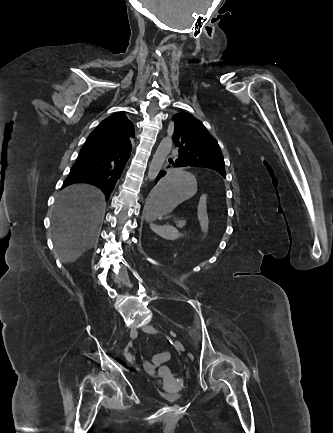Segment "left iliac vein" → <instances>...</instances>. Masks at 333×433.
<instances>
[{
	"label": "left iliac vein",
	"instance_id": "1",
	"mask_svg": "<svg viewBox=\"0 0 333 433\" xmlns=\"http://www.w3.org/2000/svg\"><path fill=\"white\" fill-rule=\"evenodd\" d=\"M142 330L144 332L150 333V334H155L157 332V330L151 325H144L142 327ZM175 346H176L178 351H180V352L184 351V346L179 340H175Z\"/></svg>",
	"mask_w": 333,
	"mask_h": 433
}]
</instances>
